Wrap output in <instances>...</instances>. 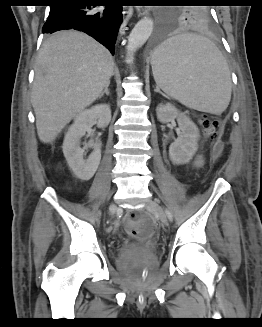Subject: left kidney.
<instances>
[{
    "label": "left kidney",
    "mask_w": 262,
    "mask_h": 327,
    "mask_svg": "<svg viewBox=\"0 0 262 327\" xmlns=\"http://www.w3.org/2000/svg\"><path fill=\"white\" fill-rule=\"evenodd\" d=\"M157 119L167 123L177 119L181 135L169 147V157L173 164L182 165L191 161L198 149L199 130L195 123L172 104H160L157 109Z\"/></svg>",
    "instance_id": "1"
}]
</instances>
